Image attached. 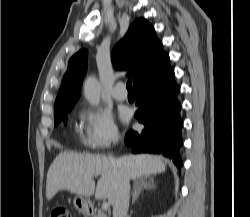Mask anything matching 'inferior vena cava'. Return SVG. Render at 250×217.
Here are the masks:
<instances>
[{
	"mask_svg": "<svg viewBox=\"0 0 250 217\" xmlns=\"http://www.w3.org/2000/svg\"><path fill=\"white\" fill-rule=\"evenodd\" d=\"M109 159L117 170V187L113 203V217H127L130 198L129 178L126 175L124 169L116 162V160L112 156H109Z\"/></svg>",
	"mask_w": 250,
	"mask_h": 217,
	"instance_id": "602c4592",
	"label": "inferior vena cava"
}]
</instances>
